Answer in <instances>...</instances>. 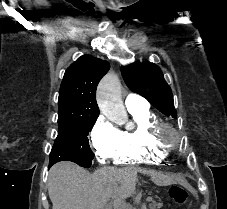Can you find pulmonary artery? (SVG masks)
I'll return each instance as SVG.
<instances>
[{"instance_id":"obj_1","label":"pulmonary artery","mask_w":227,"mask_h":209,"mask_svg":"<svg viewBox=\"0 0 227 209\" xmlns=\"http://www.w3.org/2000/svg\"><path fill=\"white\" fill-rule=\"evenodd\" d=\"M139 105H150V100H142V95H135V92L131 91L125 99V106L130 109Z\"/></svg>"}]
</instances>
